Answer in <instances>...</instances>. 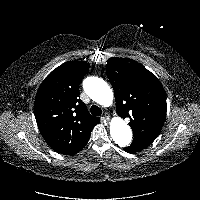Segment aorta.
<instances>
[{"label": "aorta", "mask_w": 200, "mask_h": 200, "mask_svg": "<svg viewBox=\"0 0 200 200\" xmlns=\"http://www.w3.org/2000/svg\"><path fill=\"white\" fill-rule=\"evenodd\" d=\"M87 95L98 104L108 107L113 103V92L102 78L90 76L83 81ZM110 134L120 147L128 146L132 141V131L120 117H114L110 123Z\"/></svg>", "instance_id": "aorta-1"}]
</instances>
